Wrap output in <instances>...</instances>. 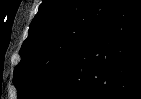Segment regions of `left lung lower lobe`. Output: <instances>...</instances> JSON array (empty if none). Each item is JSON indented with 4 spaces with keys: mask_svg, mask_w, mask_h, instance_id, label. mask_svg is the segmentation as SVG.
Listing matches in <instances>:
<instances>
[{
    "mask_svg": "<svg viewBox=\"0 0 141 99\" xmlns=\"http://www.w3.org/2000/svg\"><path fill=\"white\" fill-rule=\"evenodd\" d=\"M141 99V0H121L38 99Z\"/></svg>",
    "mask_w": 141,
    "mask_h": 99,
    "instance_id": "0a47b994",
    "label": "left lung lower lobe"
}]
</instances>
